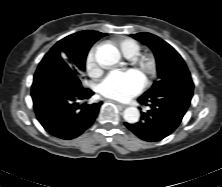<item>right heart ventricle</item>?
Wrapping results in <instances>:
<instances>
[{
  "mask_svg": "<svg viewBox=\"0 0 222 187\" xmlns=\"http://www.w3.org/2000/svg\"><path fill=\"white\" fill-rule=\"evenodd\" d=\"M117 45L122 54L127 58H133L140 52L139 43L131 38L118 40Z\"/></svg>",
  "mask_w": 222,
  "mask_h": 187,
  "instance_id": "obj_1",
  "label": "right heart ventricle"
}]
</instances>
